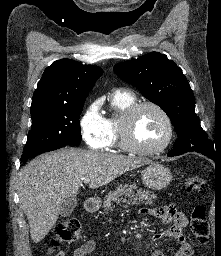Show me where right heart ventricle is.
Segmentation results:
<instances>
[{"instance_id":"right-heart-ventricle-1","label":"right heart ventricle","mask_w":221,"mask_h":256,"mask_svg":"<svg viewBox=\"0 0 221 256\" xmlns=\"http://www.w3.org/2000/svg\"><path fill=\"white\" fill-rule=\"evenodd\" d=\"M137 102L136 96L128 91H116L110 98L112 108L117 110L120 115L118 117H110L106 119L108 129V147L119 145V126L125 111Z\"/></svg>"}]
</instances>
